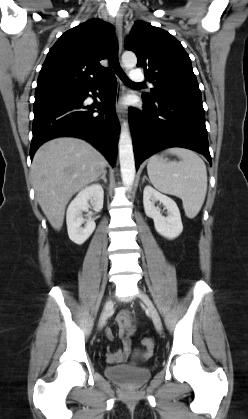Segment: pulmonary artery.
Listing matches in <instances>:
<instances>
[{
	"label": "pulmonary artery",
	"mask_w": 248,
	"mask_h": 419,
	"mask_svg": "<svg viewBox=\"0 0 248 419\" xmlns=\"http://www.w3.org/2000/svg\"><path fill=\"white\" fill-rule=\"evenodd\" d=\"M130 79H131L133 82H136V83H142V82H144V80H145V76H144V74L141 72V70H139V69H137V68H134V69H132V70H131Z\"/></svg>",
	"instance_id": "1"
}]
</instances>
